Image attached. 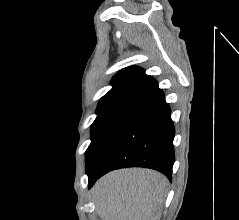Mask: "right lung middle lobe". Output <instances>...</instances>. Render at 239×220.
<instances>
[{
  "label": "right lung middle lobe",
  "instance_id": "1",
  "mask_svg": "<svg viewBox=\"0 0 239 220\" xmlns=\"http://www.w3.org/2000/svg\"><path fill=\"white\" fill-rule=\"evenodd\" d=\"M130 109L131 106H125L97 114L91 126V143L85 152L87 174L95 167Z\"/></svg>",
  "mask_w": 239,
  "mask_h": 220
}]
</instances>
